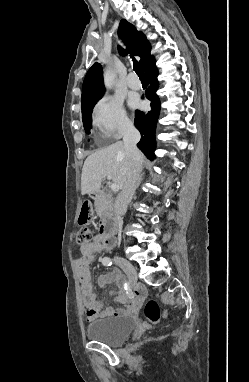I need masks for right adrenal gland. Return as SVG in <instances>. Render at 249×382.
Returning a JSON list of instances; mask_svg holds the SVG:
<instances>
[{
    "label": "right adrenal gland",
    "instance_id": "right-adrenal-gland-1",
    "mask_svg": "<svg viewBox=\"0 0 249 382\" xmlns=\"http://www.w3.org/2000/svg\"><path fill=\"white\" fill-rule=\"evenodd\" d=\"M143 175H144V174H141V175H140V178H139V183H141V181H142V178H143Z\"/></svg>",
    "mask_w": 249,
    "mask_h": 382
}]
</instances>
